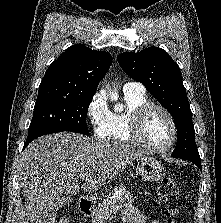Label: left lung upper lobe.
Listing matches in <instances>:
<instances>
[{
  "label": "left lung upper lobe",
  "instance_id": "1",
  "mask_svg": "<svg viewBox=\"0 0 221 223\" xmlns=\"http://www.w3.org/2000/svg\"><path fill=\"white\" fill-rule=\"evenodd\" d=\"M117 60L126 74L141 82L173 116L177 144L171 156L200 159L192 113L177 63L158 47H149L139 53L124 52Z\"/></svg>",
  "mask_w": 221,
  "mask_h": 223
}]
</instances>
